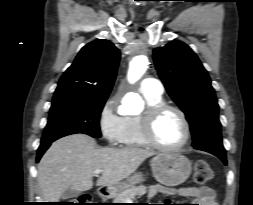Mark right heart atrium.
<instances>
[{
    "label": "right heart atrium",
    "mask_w": 253,
    "mask_h": 205,
    "mask_svg": "<svg viewBox=\"0 0 253 205\" xmlns=\"http://www.w3.org/2000/svg\"><path fill=\"white\" fill-rule=\"evenodd\" d=\"M99 130L109 145H117L122 140L124 117L118 113L114 98L105 101L98 116Z\"/></svg>",
    "instance_id": "obj_1"
}]
</instances>
